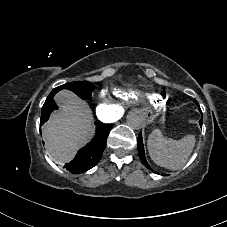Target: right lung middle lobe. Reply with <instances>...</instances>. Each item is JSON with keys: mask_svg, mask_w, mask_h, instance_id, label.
<instances>
[{"mask_svg": "<svg viewBox=\"0 0 227 227\" xmlns=\"http://www.w3.org/2000/svg\"><path fill=\"white\" fill-rule=\"evenodd\" d=\"M61 89H69L82 99H91V95L95 89V86L88 81H76V82H69L57 88H54L52 92L49 94V96L47 97L42 107V113L46 112V110L50 107V104L54 101L53 100L54 95Z\"/></svg>", "mask_w": 227, "mask_h": 227, "instance_id": "1", "label": "right lung middle lobe"}]
</instances>
